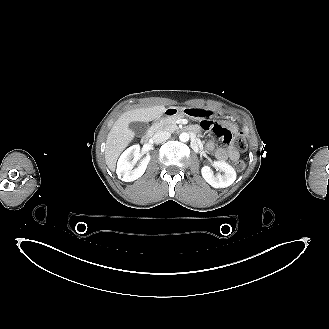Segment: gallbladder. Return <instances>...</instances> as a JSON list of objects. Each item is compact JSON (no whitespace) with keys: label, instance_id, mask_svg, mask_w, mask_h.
Listing matches in <instances>:
<instances>
[{"label":"gallbladder","instance_id":"gallbladder-1","mask_svg":"<svg viewBox=\"0 0 329 329\" xmlns=\"http://www.w3.org/2000/svg\"><path fill=\"white\" fill-rule=\"evenodd\" d=\"M129 129L137 136H144L149 129L146 122L134 121L129 124Z\"/></svg>","mask_w":329,"mask_h":329}]
</instances>
